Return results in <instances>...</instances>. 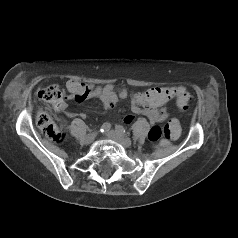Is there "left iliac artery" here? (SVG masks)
I'll return each mask as SVG.
<instances>
[{
  "label": "left iliac artery",
  "instance_id": "obj_1",
  "mask_svg": "<svg viewBox=\"0 0 238 238\" xmlns=\"http://www.w3.org/2000/svg\"><path fill=\"white\" fill-rule=\"evenodd\" d=\"M116 130H117L118 132H120L121 134H125V133H126L125 128H124L123 126H121V125H117V126H116Z\"/></svg>",
  "mask_w": 238,
  "mask_h": 238
}]
</instances>
